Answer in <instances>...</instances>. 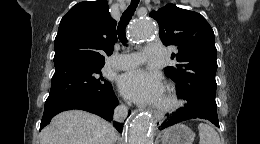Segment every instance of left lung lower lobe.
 Listing matches in <instances>:
<instances>
[{
	"instance_id": "1",
	"label": "left lung lower lobe",
	"mask_w": 260,
	"mask_h": 144,
	"mask_svg": "<svg viewBox=\"0 0 260 144\" xmlns=\"http://www.w3.org/2000/svg\"><path fill=\"white\" fill-rule=\"evenodd\" d=\"M195 118L209 120L215 126L219 127L217 106L210 103H200L192 108L179 109L177 113H174L170 119L161 125V129H165L174 124Z\"/></svg>"
}]
</instances>
